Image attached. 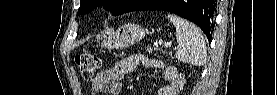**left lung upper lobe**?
I'll return each instance as SVG.
<instances>
[{
    "label": "left lung upper lobe",
    "instance_id": "obj_1",
    "mask_svg": "<svg viewBox=\"0 0 277 95\" xmlns=\"http://www.w3.org/2000/svg\"><path fill=\"white\" fill-rule=\"evenodd\" d=\"M145 0H80L78 15L92 11L98 6L112 10L113 15H121L137 9ZM169 1H162L161 6L168 5Z\"/></svg>",
    "mask_w": 277,
    "mask_h": 95
}]
</instances>
